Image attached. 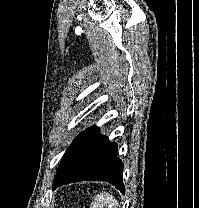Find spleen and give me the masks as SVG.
I'll list each match as a JSON object with an SVG mask.
<instances>
[{
	"mask_svg": "<svg viewBox=\"0 0 199 208\" xmlns=\"http://www.w3.org/2000/svg\"><path fill=\"white\" fill-rule=\"evenodd\" d=\"M118 201L109 193L97 194L92 201L90 208H118Z\"/></svg>",
	"mask_w": 199,
	"mask_h": 208,
	"instance_id": "3e777b00",
	"label": "spleen"
}]
</instances>
